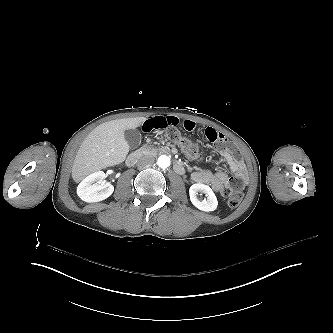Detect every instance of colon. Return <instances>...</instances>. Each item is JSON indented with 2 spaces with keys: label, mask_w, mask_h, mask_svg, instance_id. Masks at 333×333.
Returning a JSON list of instances; mask_svg holds the SVG:
<instances>
[{
  "label": "colon",
  "mask_w": 333,
  "mask_h": 333,
  "mask_svg": "<svg viewBox=\"0 0 333 333\" xmlns=\"http://www.w3.org/2000/svg\"><path fill=\"white\" fill-rule=\"evenodd\" d=\"M166 137L171 144L178 146L188 157L196 161L203 160V154L199 147L193 141L183 138L175 127L166 132ZM230 181L232 184L224 185L221 191L222 195L227 199L228 206L230 208H236L239 206L243 198L240 186L243 185L245 178L243 174L236 172L232 174Z\"/></svg>",
  "instance_id": "obj_1"
}]
</instances>
